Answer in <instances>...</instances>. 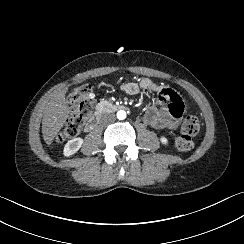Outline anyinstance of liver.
<instances>
[{
	"instance_id": "1",
	"label": "liver",
	"mask_w": 244,
	"mask_h": 244,
	"mask_svg": "<svg viewBox=\"0 0 244 244\" xmlns=\"http://www.w3.org/2000/svg\"><path fill=\"white\" fill-rule=\"evenodd\" d=\"M65 93L66 89L52 96L43 117L42 134L47 145L53 142L70 113L69 107L65 102Z\"/></svg>"
}]
</instances>
